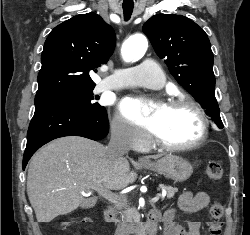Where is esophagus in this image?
<instances>
[{"label": "esophagus", "mask_w": 250, "mask_h": 235, "mask_svg": "<svg viewBox=\"0 0 250 235\" xmlns=\"http://www.w3.org/2000/svg\"><path fill=\"white\" fill-rule=\"evenodd\" d=\"M138 161H139L140 163H147V162H148V159H147V158H144V157H140V158L138 159Z\"/></svg>", "instance_id": "34e87169"}]
</instances>
